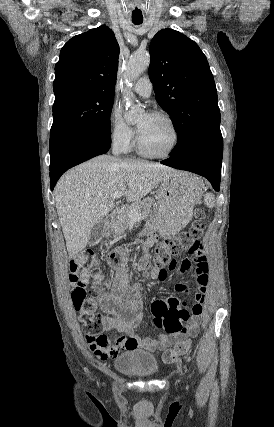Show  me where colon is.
Returning a JSON list of instances; mask_svg holds the SVG:
<instances>
[{
  "label": "colon",
  "instance_id": "5ec220e1",
  "mask_svg": "<svg viewBox=\"0 0 274 427\" xmlns=\"http://www.w3.org/2000/svg\"><path fill=\"white\" fill-rule=\"evenodd\" d=\"M205 214L202 210L194 212L193 220L189 228L183 233L169 237L156 247L155 250V263L159 265L164 261H172L181 257V253L191 249L194 244V238L203 236L205 230ZM122 259L121 255L116 256V261ZM69 282L71 286V298L73 306L77 312L82 310L81 320L83 322L85 335L93 338L103 333L104 318L95 313L94 303L90 300H85L87 294V280L93 274L100 270V263L97 260L85 259L83 256L78 255L73 257L68 262ZM80 277V278H79ZM191 348L190 341H179L177 345L172 347L162 348V363L175 364H189V355L186 354Z\"/></svg>",
  "mask_w": 274,
  "mask_h": 427
}]
</instances>
